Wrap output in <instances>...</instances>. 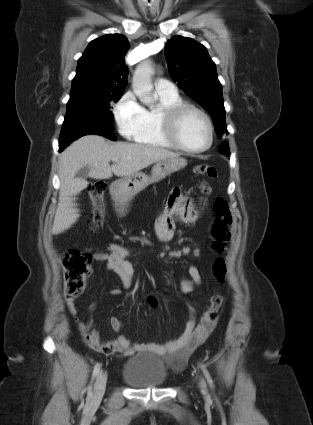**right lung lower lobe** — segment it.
<instances>
[{
    "label": "right lung lower lobe",
    "instance_id": "1",
    "mask_svg": "<svg viewBox=\"0 0 313 425\" xmlns=\"http://www.w3.org/2000/svg\"><path fill=\"white\" fill-rule=\"evenodd\" d=\"M89 134L105 136L111 140L116 139L111 121L104 120L99 115L73 113L68 120L64 119L59 139V152L69 146L72 141Z\"/></svg>",
    "mask_w": 313,
    "mask_h": 425
}]
</instances>
